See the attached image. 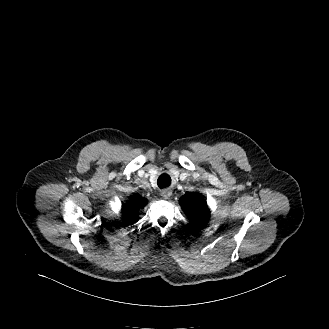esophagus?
I'll return each instance as SVG.
<instances>
[{"instance_id": "esophagus-1", "label": "esophagus", "mask_w": 329, "mask_h": 329, "mask_svg": "<svg viewBox=\"0 0 329 329\" xmlns=\"http://www.w3.org/2000/svg\"><path fill=\"white\" fill-rule=\"evenodd\" d=\"M161 195L164 199H169L172 195V191L170 189L163 190Z\"/></svg>"}]
</instances>
